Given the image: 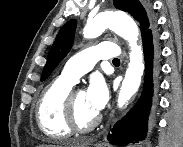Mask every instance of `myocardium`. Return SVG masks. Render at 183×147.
Returning a JSON list of instances; mask_svg holds the SVG:
<instances>
[{
    "instance_id": "1",
    "label": "myocardium",
    "mask_w": 183,
    "mask_h": 147,
    "mask_svg": "<svg viewBox=\"0 0 183 147\" xmlns=\"http://www.w3.org/2000/svg\"><path fill=\"white\" fill-rule=\"evenodd\" d=\"M76 93H77V91H71L66 99V103H65L66 122L73 132L87 133L97 127V125L101 121V116H100V114L97 113V115L91 122H89L86 125H81L78 122L77 117H76V110H75Z\"/></svg>"
}]
</instances>
